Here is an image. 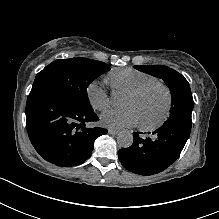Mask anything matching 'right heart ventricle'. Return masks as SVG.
Returning a JSON list of instances; mask_svg holds the SVG:
<instances>
[{"label":"right heart ventricle","mask_w":219,"mask_h":219,"mask_svg":"<svg viewBox=\"0 0 219 219\" xmlns=\"http://www.w3.org/2000/svg\"><path fill=\"white\" fill-rule=\"evenodd\" d=\"M108 81L114 93L118 91L129 93L147 83L158 82L159 80L146 72L134 68H125L112 72Z\"/></svg>","instance_id":"1"}]
</instances>
